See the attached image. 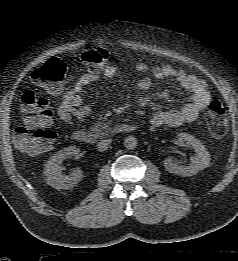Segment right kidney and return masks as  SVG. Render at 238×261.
<instances>
[{"mask_svg":"<svg viewBox=\"0 0 238 261\" xmlns=\"http://www.w3.org/2000/svg\"><path fill=\"white\" fill-rule=\"evenodd\" d=\"M80 149L77 146H69L54 154L45 164L44 174L47 184L55 189H71L83 179V172L77 168L70 175L65 176L61 172L62 162L70 157H77Z\"/></svg>","mask_w":238,"mask_h":261,"instance_id":"ca27d5eb","label":"right kidney"}]
</instances>
